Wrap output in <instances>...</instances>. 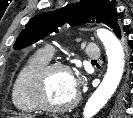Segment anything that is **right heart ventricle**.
<instances>
[{
    "mask_svg": "<svg viewBox=\"0 0 133 118\" xmlns=\"http://www.w3.org/2000/svg\"><path fill=\"white\" fill-rule=\"evenodd\" d=\"M50 60L51 56L45 50H40L33 54L17 73L11 91L12 103L17 110L31 113L38 109L29 95V81L31 76Z\"/></svg>",
    "mask_w": 133,
    "mask_h": 118,
    "instance_id": "1",
    "label": "right heart ventricle"
}]
</instances>
